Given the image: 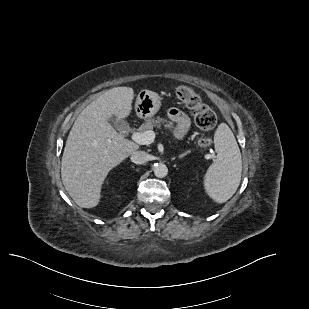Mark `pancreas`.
Masks as SVG:
<instances>
[{
	"label": "pancreas",
	"instance_id": "1",
	"mask_svg": "<svg viewBox=\"0 0 309 309\" xmlns=\"http://www.w3.org/2000/svg\"><path fill=\"white\" fill-rule=\"evenodd\" d=\"M161 126H163L165 129H171L173 127V123L160 117L151 118L146 120V122L142 124L138 130L140 132H145L152 130L154 127L160 128Z\"/></svg>",
	"mask_w": 309,
	"mask_h": 309
}]
</instances>
